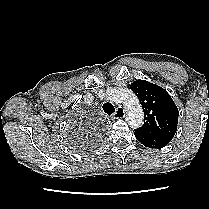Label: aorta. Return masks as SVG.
I'll list each match as a JSON object with an SVG mask.
<instances>
[{
  "mask_svg": "<svg viewBox=\"0 0 209 209\" xmlns=\"http://www.w3.org/2000/svg\"><path fill=\"white\" fill-rule=\"evenodd\" d=\"M112 102L122 104L126 110V122L131 128H139L143 124L144 113L137 96L127 88H114L107 93Z\"/></svg>",
  "mask_w": 209,
  "mask_h": 209,
  "instance_id": "762f6f07",
  "label": "aorta"
}]
</instances>
